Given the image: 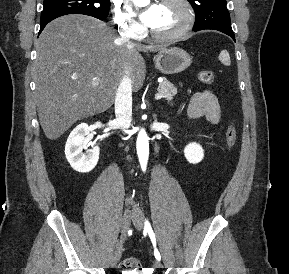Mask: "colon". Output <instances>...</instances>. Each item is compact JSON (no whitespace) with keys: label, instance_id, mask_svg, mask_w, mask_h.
Instances as JSON below:
<instances>
[{"label":"colon","instance_id":"5ec220e1","mask_svg":"<svg viewBox=\"0 0 289 274\" xmlns=\"http://www.w3.org/2000/svg\"><path fill=\"white\" fill-rule=\"evenodd\" d=\"M199 79L202 83L206 85H212L215 81L214 72L212 70H202L199 73ZM225 138H226L227 146L230 149L233 148L236 144V139H237L236 128L233 124H230L228 126L226 130ZM121 268L124 271H141L143 273L147 272V270L141 267L140 261L134 257L125 258L121 263Z\"/></svg>","mask_w":289,"mask_h":274}]
</instances>
